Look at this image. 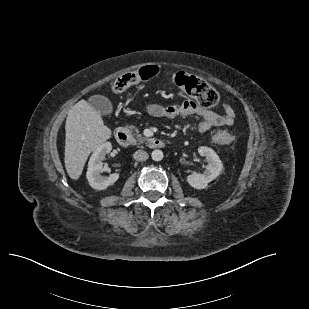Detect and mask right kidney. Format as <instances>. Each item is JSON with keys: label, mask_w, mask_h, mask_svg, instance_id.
Listing matches in <instances>:
<instances>
[{"label": "right kidney", "mask_w": 309, "mask_h": 309, "mask_svg": "<svg viewBox=\"0 0 309 309\" xmlns=\"http://www.w3.org/2000/svg\"><path fill=\"white\" fill-rule=\"evenodd\" d=\"M111 150V143L105 142L98 146L90 157L86 177L90 186L94 189L104 190L110 185H113L119 179L118 173H113L108 177H103L100 174L103 167L102 161L104 160L105 155L108 154Z\"/></svg>", "instance_id": "ca27d5eb"}]
</instances>
